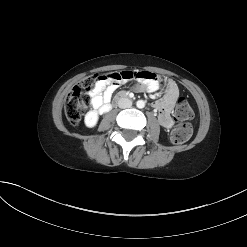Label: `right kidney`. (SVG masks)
<instances>
[{
	"mask_svg": "<svg viewBox=\"0 0 247 247\" xmlns=\"http://www.w3.org/2000/svg\"><path fill=\"white\" fill-rule=\"evenodd\" d=\"M98 113L97 111L95 110H91L89 111L86 115H85V119H84V122H85V125L89 128H92L94 127L97 122H98Z\"/></svg>",
	"mask_w": 247,
	"mask_h": 247,
	"instance_id": "right-kidney-1",
	"label": "right kidney"
}]
</instances>
